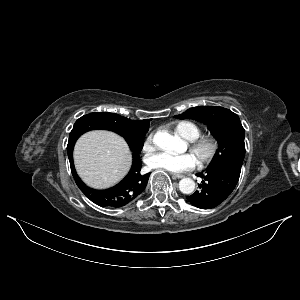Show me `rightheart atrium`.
<instances>
[{"label":"right heart atrium","instance_id":"1","mask_svg":"<svg viewBox=\"0 0 300 300\" xmlns=\"http://www.w3.org/2000/svg\"><path fill=\"white\" fill-rule=\"evenodd\" d=\"M153 147V134H150L146 137L144 144H143V149L144 151H150Z\"/></svg>","mask_w":300,"mask_h":300}]
</instances>
